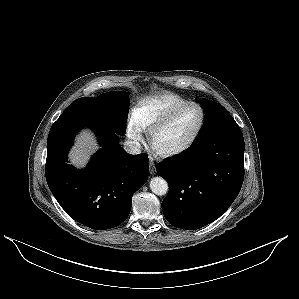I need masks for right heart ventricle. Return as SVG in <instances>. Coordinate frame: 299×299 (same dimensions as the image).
Returning a JSON list of instances; mask_svg holds the SVG:
<instances>
[{"label":"right heart ventricle","mask_w":299,"mask_h":299,"mask_svg":"<svg viewBox=\"0 0 299 299\" xmlns=\"http://www.w3.org/2000/svg\"><path fill=\"white\" fill-rule=\"evenodd\" d=\"M189 101L174 93H159L146 97L139 101L135 110L134 117L145 129L162 120L173 110Z\"/></svg>","instance_id":"obj_1"}]
</instances>
